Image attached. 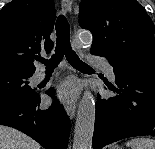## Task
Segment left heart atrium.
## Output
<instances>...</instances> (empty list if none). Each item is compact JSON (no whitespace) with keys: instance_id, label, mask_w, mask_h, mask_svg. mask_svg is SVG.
<instances>
[{"instance_id":"39dd6f15","label":"left heart atrium","mask_w":155,"mask_h":149,"mask_svg":"<svg viewBox=\"0 0 155 149\" xmlns=\"http://www.w3.org/2000/svg\"><path fill=\"white\" fill-rule=\"evenodd\" d=\"M78 87L76 83L68 81L61 85L59 89V97L63 100L71 101L77 95Z\"/></svg>"}]
</instances>
